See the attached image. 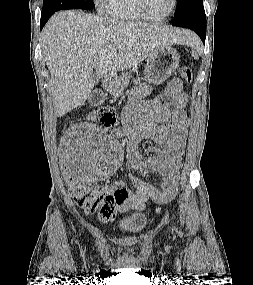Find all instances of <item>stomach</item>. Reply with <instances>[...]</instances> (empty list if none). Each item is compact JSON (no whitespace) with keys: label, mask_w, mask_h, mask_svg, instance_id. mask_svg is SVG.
Returning a JSON list of instances; mask_svg holds the SVG:
<instances>
[{"label":"stomach","mask_w":253,"mask_h":285,"mask_svg":"<svg viewBox=\"0 0 253 285\" xmlns=\"http://www.w3.org/2000/svg\"><path fill=\"white\" fill-rule=\"evenodd\" d=\"M180 55L171 46H162L149 56L145 78L153 83L165 81L179 65Z\"/></svg>","instance_id":"1"}]
</instances>
